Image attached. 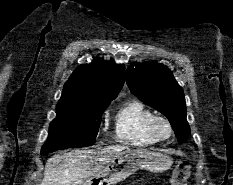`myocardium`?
I'll list each match as a JSON object with an SVG mask.
<instances>
[{
  "instance_id": "myocardium-1",
  "label": "myocardium",
  "mask_w": 233,
  "mask_h": 185,
  "mask_svg": "<svg viewBox=\"0 0 233 185\" xmlns=\"http://www.w3.org/2000/svg\"><path fill=\"white\" fill-rule=\"evenodd\" d=\"M161 125H164L167 128L168 132L166 135L161 133V131H160ZM151 131H152L153 135L159 141H163V140L169 139L172 136L173 127H172L170 120L167 117L162 116V115H156L153 117V119L151 121Z\"/></svg>"
}]
</instances>
